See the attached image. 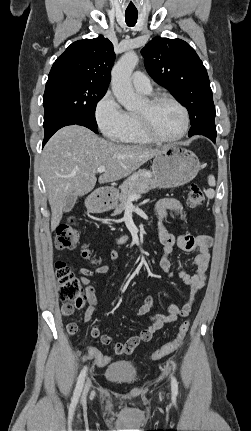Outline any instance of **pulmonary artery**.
<instances>
[{
	"instance_id": "pulmonary-artery-1",
	"label": "pulmonary artery",
	"mask_w": 251,
	"mask_h": 431,
	"mask_svg": "<svg viewBox=\"0 0 251 431\" xmlns=\"http://www.w3.org/2000/svg\"><path fill=\"white\" fill-rule=\"evenodd\" d=\"M133 86L140 92L150 93L151 92V84L149 78L143 74L142 72H135L132 76Z\"/></svg>"
}]
</instances>
